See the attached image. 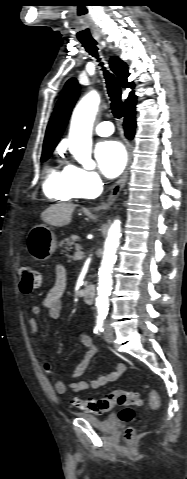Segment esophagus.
<instances>
[{
	"label": "esophagus",
	"instance_id": "obj_1",
	"mask_svg": "<svg viewBox=\"0 0 187 479\" xmlns=\"http://www.w3.org/2000/svg\"><path fill=\"white\" fill-rule=\"evenodd\" d=\"M127 151H128V162L127 166L125 167V170L120 177V179L112 186L110 194L108 199L105 202H102L100 205L94 208L95 211L103 210L109 208L115 199L118 197L120 194L122 188L124 187L127 178H128V172H129V164L131 162V145L127 146Z\"/></svg>",
	"mask_w": 187,
	"mask_h": 479
}]
</instances>
